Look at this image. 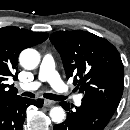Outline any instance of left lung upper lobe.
I'll return each instance as SVG.
<instances>
[{"label": "left lung upper lobe", "instance_id": "obj_1", "mask_svg": "<svg viewBox=\"0 0 130 130\" xmlns=\"http://www.w3.org/2000/svg\"><path fill=\"white\" fill-rule=\"evenodd\" d=\"M50 41L61 55L67 79L84 99L101 102L116 110L124 87V69L117 49L106 39L74 30L57 31Z\"/></svg>", "mask_w": 130, "mask_h": 130}]
</instances>
